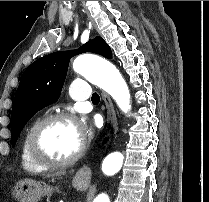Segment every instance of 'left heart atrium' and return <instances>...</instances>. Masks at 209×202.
<instances>
[{
	"label": "left heart atrium",
	"instance_id": "left-heart-atrium-1",
	"mask_svg": "<svg viewBox=\"0 0 209 202\" xmlns=\"http://www.w3.org/2000/svg\"><path fill=\"white\" fill-rule=\"evenodd\" d=\"M77 128L79 135L83 138L85 134V126L83 124H78Z\"/></svg>",
	"mask_w": 209,
	"mask_h": 202
}]
</instances>
